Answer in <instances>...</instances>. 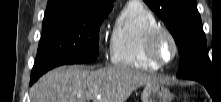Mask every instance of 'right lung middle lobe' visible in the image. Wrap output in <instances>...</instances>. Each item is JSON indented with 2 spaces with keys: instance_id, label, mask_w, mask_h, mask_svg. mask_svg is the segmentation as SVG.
Returning a JSON list of instances; mask_svg holds the SVG:
<instances>
[{
  "instance_id": "1",
  "label": "right lung middle lobe",
  "mask_w": 221,
  "mask_h": 102,
  "mask_svg": "<svg viewBox=\"0 0 221 102\" xmlns=\"http://www.w3.org/2000/svg\"><path fill=\"white\" fill-rule=\"evenodd\" d=\"M112 8L79 7L45 12L31 77L63 64L85 63L99 54V28Z\"/></svg>"
}]
</instances>
